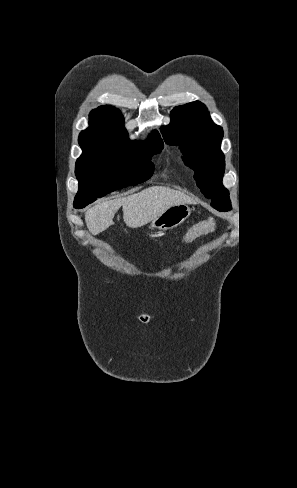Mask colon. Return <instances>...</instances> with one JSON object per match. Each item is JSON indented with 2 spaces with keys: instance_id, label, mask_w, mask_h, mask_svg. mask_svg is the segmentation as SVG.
Returning <instances> with one entry per match:
<instances>
[{
  "instance_id": "colon-1",
  "label": "colon",
  "mask_w": 297,
  "mask_h": 488,
  "mask_svg": "<svg viewBox=\"0 0 297 488\" xmlns=\"http://www.w3.org/2000/svg\"><path fill=\"white\" fill-rule=\"evenodd\" d=\"M212 227L211 221H206L202 223H198L192 226L183 238V244L188 245L191 244L195 239L199 236L203 235L204 233L208 232Z\"/></svg>"
}]
</instances>
